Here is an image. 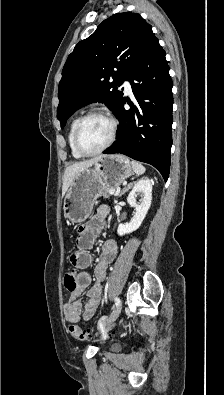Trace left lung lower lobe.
<instances>
[{"mask_svg": "<svg viewBox=\"0 0 224 395\" xmlns=\"http://www.w3.org/2000/svg\"><path fill=\"white\" fill-rule=\"evenodd\" d=\"M135 105L125 110V98L118 105L117 141L105 154L121 153L149 163L159 170L165 181L169 176L172 146V80L165 51L156 40L140 58L127 77Z\"/></svg>", "mask_w": 224, "mask_h": 395, "instance_id": "left-lung-lower-lobe-1", "label": "left lung lower lobe"}]
</instances>
